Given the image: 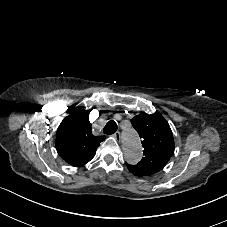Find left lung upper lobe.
Masks as SVG:
<instances>
[{
  "mask_svg": "<svg viewBox=\"0 0 227 227\" xmlns=\"http://www.w3.org/2000/svg\"><path fill=\"white\" fill-rule=\"evenodd\" d=\"M130 121L142 138L144 157L137 165H126L136 176H150L160 171L174 153L171 128L160 113H141Z\"/></svg>",
  "mask_w": 227,
  "mask_h": 227,
  "instance_id": "obj_1",
  "label": "left lung upper lobe"
}]
</instances>
